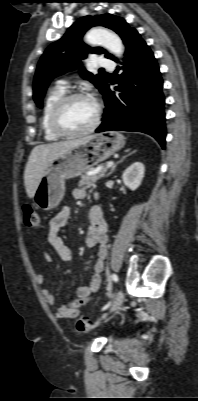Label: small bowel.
Wrapping results in <instances>:
<instances>
[{"instance_id": "1", "label": "small bowel", "mask_w": 198, "mask_h": 401, "mask_svg": "<svg viewBox=\"0 0 198 401\" xmlns=\"http://www.w3.org/2000/svg\"><path fill=\"white\" fill-rule=\"evenodd\" d=\"M73 196L77 199H82L86 196V190L76 188L73 190ZM71 210L69 207H63L50 221L47 239L49 244L54 248L59 257L68 265L73 263L72 251L65 244L62 237L59 235L60 230L66 226ZM90 224L86 235V245L88 248L98 246V260L94 265V270L91 275L88 285H78L75 289L76 299L69 305H60L56 308V313L61 318L71 319L79 314L81 306L85 305L101 286L103 262L108 254V235H107V222L104 218L102 209L98 205H93L90 209ZM45 258L50 260V254H45ZM36 280L40 285L46 281L42 274L36 275ZM43 295L48 303H55V294L49 289H43ZM80 332H87L92 328L91 323L84 325L77 324Z\"/></svg>"}]
</instances>
